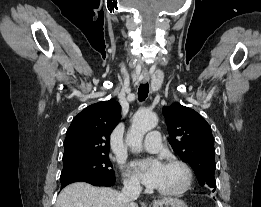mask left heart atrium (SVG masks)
<instances>
[{
	"instance_id": "1",
	"label": "left heart atrium",
	"mask_w": 261,
	"mask_h": 207,
	"mask_svg": "<svg viewBox=\"0 0 261 207\" xmlns=\"http://www.w3.org/2000/svg\"><path fill=\"white\" fill-rule=\"evenodd\" d=\"M163 164L157 160L138 161L133 163V168L141 180L150 187H157L163 170Z\"/></svg>"
}]
</instances>
